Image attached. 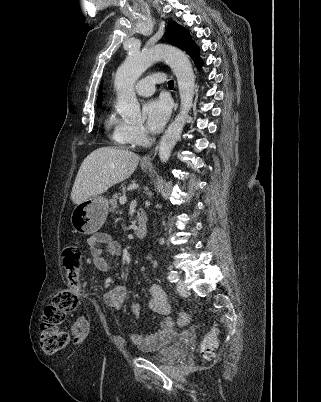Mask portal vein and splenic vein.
<instances>
[{"mask_svg":"<svg viewBox=\"0 0 321 402\" xmlns=\"http://www.w3.org/2000/svg\"><path fill=\"white\" fill-rule=\"evenodd\" d=\"M119 202L121 205L125 204L127 202V198L126 197H120Z\"/></svg>","mask_w":321,"mask_h":402,"instance_id":"1","label":"portal vein and splenic vein"}]
</instances>
